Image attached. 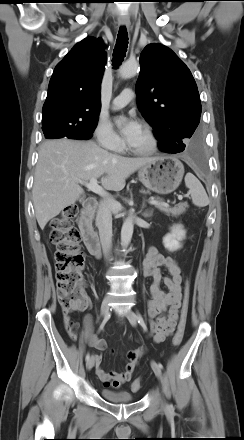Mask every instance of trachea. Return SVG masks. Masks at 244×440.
<instances>
[{
  "instance_id": "1",
  "label": "trachea",
  "mask_w": 244,
  "mask_h": 440,
  "mask_svg": "<svg viewBox=\"0 0 244 440\" xmlns=\"http://www.w3.org/2000/svg\"><path fill=\"white\" fill-rule=\"evenodd\" d=\"M128 48V33L126 28L123 26L120 28L116 45L113 54V65L114 67H118L123 61Z\"/></svg>"
}]
</instances>
